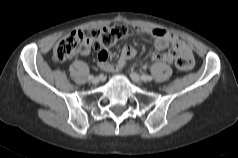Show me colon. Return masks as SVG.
<instances>
[{
    "label": "colon",
    "mask_w": 238,
    "mask_h": 158,
    "mask_svg": "<svg viewBox=\"0 0 238 158\" xmlns=\"http://www.w3.org/2000/svg\"><path fill=\"white\" fill-rule=\"evenodd\" d=\"M127 30L122 25L95 29L88 33L73 31L62 37L53 49L52 58L55 62H64L70 58L86 52L88 43L94 50L100 52L112 46L117 39L125 36ZM176 66L183 72L189 71L193 62L189 59L177 57Z\"/></svg>",
    "instance_id": "colon-1"
}]
</instances>
